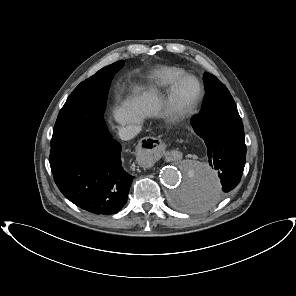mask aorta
<instances>
[{"label": "aorta", "instance_id": "obj_1", "mask_svg": "<svg viewBox=\"0 0 296 296\" xmlns=\"http://www.w3.org/2000/svg\"><path fill=\"white\" fill-rule=\"evenodd\" d=\"M170 205L177 211L206 213L221 198V183L207 164L189 161L175 168L166 166L160 173Z\"/></svg>", "mask_w": 296, "mask_h": 296}]
</instances>
